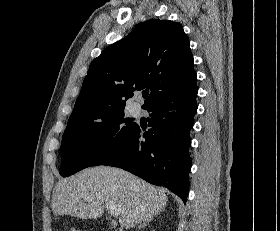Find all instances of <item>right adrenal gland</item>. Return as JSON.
<instances>
[{
	"label": "right adrenal gland",
	"mask_w": 280,
	"mask_h": 231,
	"mask_svg": "<svg viewBox=\"0 0 280 231\" xmlns=\"http://www.w3.org/2000/svg\"><path fill=\"white\" fill-rule=\"evenodd\" d=\"M161 211H163V209H161ZM161 211H157V213H153V215H150V217H147V219H145V221H143V223H141V225H138V229H141V227H146V225H148V223H150V221H152V219H154V217H156V215H159V213H161Z\"/></svg>",
	"instance_id": "obj_1"
}]
</instances>
